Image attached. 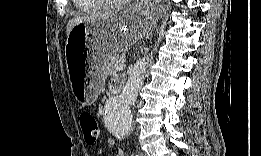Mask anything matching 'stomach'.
<instances>
[{"mask_svg": "<svg viewBox=\"0 0 261 156\" xmlns=\"http://www.w3.org/2000/svg\"><path fill=\"white\" fill-rule=\"evenodd\" d=\"M162 11L148 3H136L120 16L75 26L67 36L65 56L72 91L82 105L92 104L103 85L102 66L111 53L120 51L145 36L156 25ZM87 50L88 65L77 68L75 59Z\"/></svg>", "mask_w": 261, "mask_h": 156, "instance_id": "obj_1", "label": "stomach"}]
</instances>
